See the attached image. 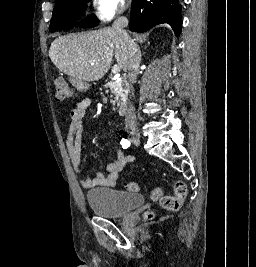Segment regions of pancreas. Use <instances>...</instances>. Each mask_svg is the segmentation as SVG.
Segmentation results:
<instances>
[{
  "mask_svg": "<svg viewBox=\"0 0 256 267\" xmlns=\"http://www.w3.org/2000/svg\"><path fill=\"white\" fill-rule=\"evenodd\" d=\"M105 88H110L111 94H113L114 100H111L112 104L118 102L121 106H125V102H122V100L123 98H127V94H125L126 90H128L126 78H122L120 82H108Z\"/></svg>",
  "mask_w": 256,
  "mask_h": 267,
  "instance_id": "pancreas-1",
  "label": "pancreas"
}]
</instances>
